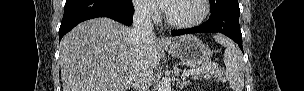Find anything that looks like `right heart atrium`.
I'll return each instance as SVG.
<instances>
[{
    "mask_svg": "<svg viewBox=\"0 0 304 91\" xmlns=\"http://www.w3.org/2000/svg\"><path fill=\"white\" fill-rule=\"evenodd\" d=\"M138 14L145 19H156L158 16L157 10L150 5L138 4L137 5Z\"/></svg>",
    "mask_w": 304,
    "mask_h": 91,
    "instance_id": "obj_1",
    "label": "right heart atrium"
}]
</instances>
